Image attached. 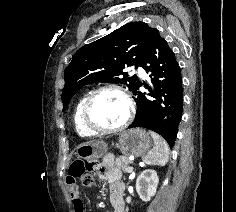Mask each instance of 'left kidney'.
I'll return each instance as SVG.
<instances>
[{"label": "left kidney", "mask_w": 236, "mask_h": 212, "mask_svg": "<svg viewBox=\"0 0 236 212\" xmlns=\"http://www.w3.org/2000/svg\"><path fill=\"white\" fill-rule=\"evenodd\" d=\"M158 182L157 172L152 169H146L138 176L136 191L142 201L147 202L155 195Z\"/></svg>", "instance_id": "left-kidney-1"}]
</instances>
